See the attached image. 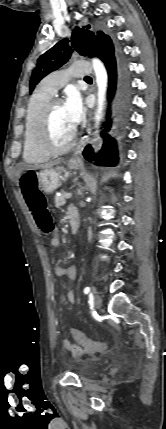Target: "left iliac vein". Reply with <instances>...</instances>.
<instances>
[{
    "label": "left iliac vein",
    "instance_id": "1",
    "mask_svg": "<svg viewBox=\"0 0 166 429\" xmlns=\"http://www.w3.org/2000/svg\"><path fill=\"white\" fill-rule=\"evenodd\" d=\"M94 306L97 309H100L102 306V299H101L100 295H98V294H95V296H94Z\"/></svg>",
    "mask_w": 166,
    "mask_h": 429
}]
</instances>
